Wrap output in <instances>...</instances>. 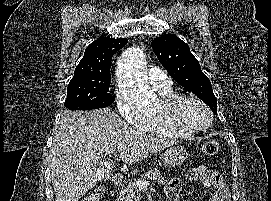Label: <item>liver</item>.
I'll return each mask as SVG.
<instances>
[{"mask_svg":"<svg viewBox=\"0 0 271 201\" xmlns=\"http://www.w3.org/2000/svg\"><path fill=\"white\" fill-rule=\"evenodd\" d=\"M176 142L129 126L110 108L65 111L54 131L50 170L55 201H78L98 181L99 160L122 146L120 158L132 164Z\"/></svg>","mask_w":271,"mask_h":201,"instance_id":"1","label":"liver"}]
</instances>
